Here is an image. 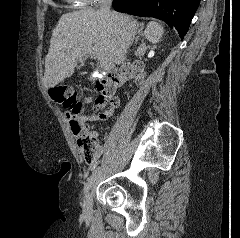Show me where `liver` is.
<instances>
[{"mask_svg":"<svg viewBox=\"0 0 240 238\" xmlns=\"http://www.w3.org/2000/svg\"><path fill=\"white\" fill-rule=\"evenodd\" d=\"M108 17L93 8L66 13L53 29L48 54L45 57L43 86H56L73 75L77 62L84 66L87 47L97 50L111 63L126 60L127 35L138 28V22L128 15L113 13Z\"/></svg>","mask_w":240,"mask_h":238,"instance_id":"liver-1","label":"liver"}]
</instances>
